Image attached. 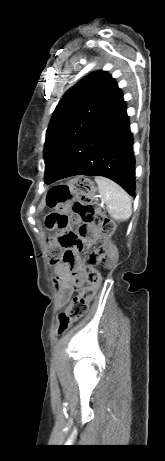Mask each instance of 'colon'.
Wrapping results in <instances>:
<instances>
[{
	"instance_id": "1",
	"label": "colon",
	"mask_w": 165,
	"mask_h": 461,
	"mask_svg": "<svg viewBox=\"0 0 165 461\" xmlns=\"http://www.w3.org/2000/svg\"><path fill=\"white\" fill-rule=\"evenodd\" d=\"M46 203L50 209L54 210L47 215L45 220L49 230L64 229L69 222L67 211L71 210L85 225H96L101 238V244L90 255L89 263L84 269L87 286L72 298L67 310L59 317L58 331L62 334L73 323L85 316L90 302L95 298L101 286L102 276L95 265L97 263L109 265L115 259V249L110 243L115 225L107 215L98 211L94 203V187L87 178L74 179L51 188L47 194ZM50 243H56L53 237ZM59 260L60 252L52 249L48 256L49 264H56Z\"/></svg>"
}]
</instances>
